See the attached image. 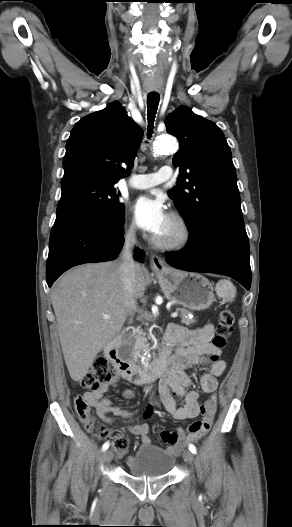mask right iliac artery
<instances>
[{
    "mask_svg": "<svg viewBox=\"0 0 292 527\" xmlns=\"http://www.w3.org/2000/svg\"><path fill=\"white\" fill-rule=\"evenodd\" d=\"M109 448V442H105L102 446V451H106Z\"/></svg>",
    "mask_w": 292,
    "mask_h": 527,
    "instance_id": "82829eb1",
    "label": "right iliac artery"
}]
</instances>
